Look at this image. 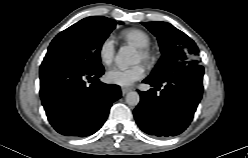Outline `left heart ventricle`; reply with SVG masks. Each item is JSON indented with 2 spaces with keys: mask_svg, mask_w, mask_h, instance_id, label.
Listing matches in <instances>:
<instances>
[{
  "mask_svg": "<svg viewBox=\"0 0 248 158\" xmlns=\"http://www.w3.org/2000/svg\"><path fill=\"white\" fill-rule=\"evenodd\" d=\"M140 61H142V57H141L140 53L138 52L137 57H136V62H140Z\"/></svg>",
  "mask_w": 248,
  "mask_h": 158,
  "instance_id": "obj_1",
  "label": "left heart ventricle"
}]
</instances>
